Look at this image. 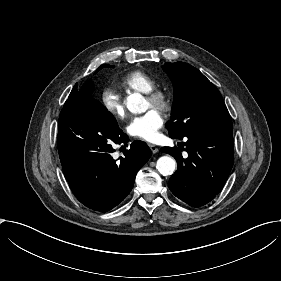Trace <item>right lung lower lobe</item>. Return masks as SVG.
<instances>
[{
    "label": "right lung lower lobe",
    "mask_w": 281,
    "mask_h": 281,
    "mask_svg": "<svg viewBox=\"0 0 281 281\" xmlns=\"http://www.w3.org/2000/svg\"><path fill=\"white\" fill-rule=\"evenodd\" d=\"M87 82L76 84L60 113L57 147L63 173L76 198L90 209L106 212L121 203L132 190L137 171L152 152L135 140L119 161L112 158L114 144L129 138L114 116L90 96Z\"/></svg>",
    "instance_id": "obj_1"
}]
</instances>
